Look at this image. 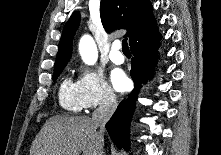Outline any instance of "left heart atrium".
<instances>
[{
	"instance_id": "obj_1",
	"label": "left heart atrium",
	"mask_w": 221,
	"mask_h": 155,
	"mask_svg": "<svg viewBox=\"0 0 221 155\" xmlns=\"http://www.w3.org/2000/svg\"><path fill=\"white\" fill-rule=\"evenodd\" d=\"M111 82L117 91L123 92L129 86V79L121 70H114L111 73Z\"/></svg>"
}]
</instances>
